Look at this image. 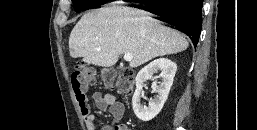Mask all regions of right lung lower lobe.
<instances>
[{
    "label": "right lung lower lobe",
    "mask_w": 257,
    "mask_h": 130,
    "mask_svg": "<svg viewBox=\"0 0 257 130\" xmlns=\"http://www.w3.org/2000/svg\"><path fill=\"white\" fill-rule=\"evenodd\" d=\"M202 5L203 0H167L149 5L153 10L148 11L188 35L196 47L202 28Z\"/></svg>",
    "instance_id": "98d812e1"
}]
</instances>
